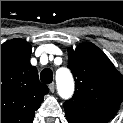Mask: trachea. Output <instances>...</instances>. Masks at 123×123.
Here are the masks:
<instances>
[{
  "label": "trachea",
  "instance_id": "obj_1",
  "mask_svg": "<svg viewBox=\"0 0 123 123\" xmlns=\"http://www.w3.org/2000/svg\"><path fill=\"white\" fill-rule=\"evenodd\" d=\"M40 78L43 83L49 84L53 80V72L49 68H46L40 73Z\"/></svg>",
  "mask_w": 123,
  "mask_h": 123
}]
</instances>
